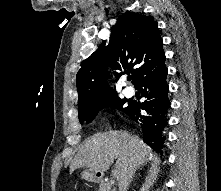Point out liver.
<instances>
[{
    "instance_id": "1",
    "label": "liver",
    "mask_w": 221,
    "mask_h": 191,
    "mask_svg": "<svg viewBox=\"0 0 221 191\" xmlns=\"http://www.w3.org/2000/svg\"><path fill=\"white\" fill-rule=\"evenodd\" d=\"M151 149L138 137L125 131L97 133L79 147L70 164V172L78 168H88L98 172L107 171L117 159L112 174L118 186L135 166L147 164Z\"/></svg>"
}]
</instances>
